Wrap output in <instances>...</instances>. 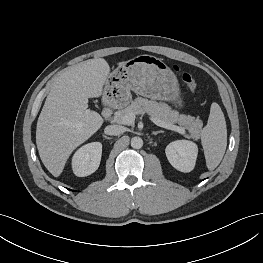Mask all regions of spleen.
Masks as SVG:
<instances>
[{
	"mask_svg": "<svg viewBox=\"0 0 263 263\" xmlns=\"http://www.w3.org/2000/svg\"><path fill=\"white\" fill-rule=\"evenodd\" d=\"M201 144L206 166L209 170H214L220 164L227 146L226 121L216 102L211 104L208 123L201 133Z\"/></svg>",
	"mask_w": 263,
	"mask_h": 263,
	"instance_id": "obj_1",
	"label": "spleen"
}]
</instances>
